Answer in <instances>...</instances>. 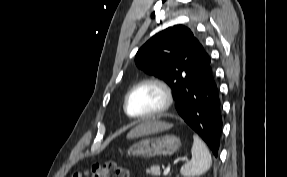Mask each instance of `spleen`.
Instances as JSON below:
<instances>
[{
  "instance_id": "1",
  "label": "spleen",
  "mask_w": 287,
  "mask_h": 177,
  "mask_svg": "<svg viewBox=\"0 0 287 177\" xmlns=\"http://www.w3.org/2000/svg\"><path fill=\"white\" fill-rule=\"evenodd\" d=\"M192 159L182 166L180 172L184 177L199 176L209 170L212 164L211 154L197 136H193V146L191 149Z\"/></svg>"
}]
</instances>
